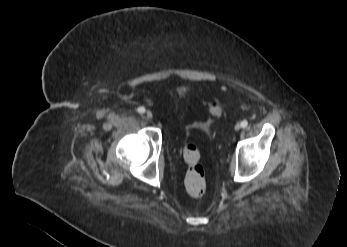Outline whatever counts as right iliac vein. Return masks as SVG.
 <instances>
[{
  "label": "right iliac vein",
  "instance_id": "obj_1",
  "mask_svg": "<svg viewBox=\"0 0 347 247\" xmlns=\"http://www.w3.org/2000/svg\"><path fill=\"white\" fill-rule=\"evenodd\" d=\"M146 117H147V119H151L153 117L152 112L151 111H147L146 112Z\"/></svg>",
  "mask_w": 347,
  "mask_h": 247
}]
</instances>
